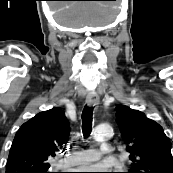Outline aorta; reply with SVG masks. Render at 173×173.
Listing matches in <instances>:
<instances>
[{
    "label": "aorta",
    "mask_w": 173,
    "mask_h": 173,
    "mask_svg": "<svg viewBox=\"0 0 173 173\" xmlns=\"http://www.w3.org/2000/svg\"><path fill=\"white\" fill-rule=\"evenodd\" d=\"M112 134H113V129L108 124L99 125L93 131V136L96 140H102L104 138L111 137Z\"/></svg>",
    "instance_id": "aorta-1"
}]
</instances>
